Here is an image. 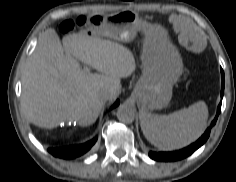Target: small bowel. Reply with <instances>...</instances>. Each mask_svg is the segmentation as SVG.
I'll return each instance as SVG.
<instances>
[{"label": "small bowel", "mask_w": 236, "mask_h": 182, "mask_svg": "<svg viewBox=\"0 0 236 182\" xmlns=\"http://www.w3.org/2000/svg\"><path fill=\"white\" fill-rule=\"evenodd\" d=\"M172 22L175 26L176 29L180 30L183 26V22L180 18L175 17L172 19ZM180 41L185 44L186 43V38L183 35H180Z\"/></svg>", "instance_id": "1"}]
</instances>
